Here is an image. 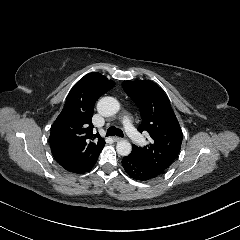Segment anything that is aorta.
<instances>
[{"label":"aorta","mask_w":240,"mask_h":240,"mask_svg":"<svg viewBox=\"0 0 240 240\" xmlns=\"http://www.w3.org/2000/svg\"><path fill=\"white\" fill-rule=\"evenodd\" d=\"M98 112L104 117H110L117 114L121 110V104L115 97L107 96L98 101ZM117 152L122 156L131 153L132 145L128 140H121L117 143Z\"/></svg>","instance_id":"1"}]
</instances>
